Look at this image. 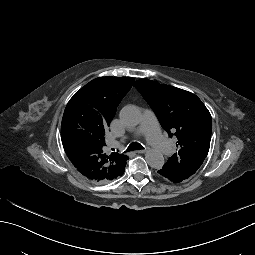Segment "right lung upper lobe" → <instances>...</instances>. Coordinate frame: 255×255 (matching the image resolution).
Instances as JSON below:
<instances>
[{
	"mask_svg": "<svg viewBox=\"0 0 255 255\" xmlns=\"http://www.w3.org/2000/svg\"><path fill=\"white\" fill-rule=\"evenodd\" d=\"M130 77H99L68 102L61 124L64 150L76 169L94 183H107L124 173L128 157L106 151V133L117 106L130 90Z\"/></svg>",
	"mask_w": 255,
	"mask_h": 255,
	"instance_id": "1",
	"label": "right lung upper lobe"
}]
</instances>
